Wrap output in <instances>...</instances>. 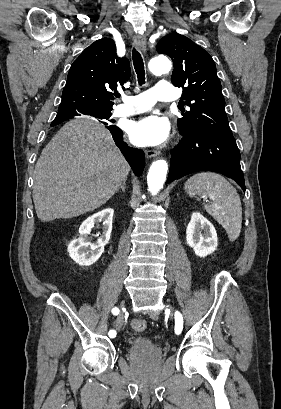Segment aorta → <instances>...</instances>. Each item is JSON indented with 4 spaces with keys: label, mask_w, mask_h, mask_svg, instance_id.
I'll use <instances>...</instances> for the list:
<instances>
[{
    "label": "aorta",
    "mask_w": 281,
    "mask_h": 409,
    "mask_svg": "<svg viewBox=\"0 0 281 409\" xmlns=\"http://www.w3.org/2000/svg\"><path fill=\"white\" fill-rule=\"evenodd\" d=\"M148 67L154 75H162L171 70L172 64L167 57L158 56L150 60ZM167 170L168 164L165 160L160 159L152 163L147 175L148 189L151 194L155 195L163 188Z\"/></svg>",
    "instance_id": "1"
}]
</instances>
